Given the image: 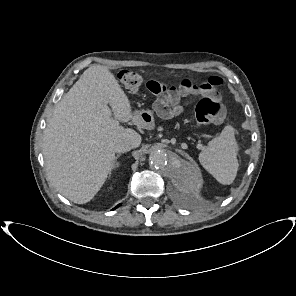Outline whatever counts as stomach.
Segmentation results:
<instances>
[{"label": "stomach", "instance_id": "1", "mask_svg": "<svg viewBox=\"0 0 296 296\" xmlns=\"http://www.w3.org/2000/svg\"><path fill=\"white\" fill-rule=\"evenodd\" d=\"M137 123L146 128H151L154 124V117L151 111H138L135 115Z\"/></svg>", "mask_w": 296, "mask_h": 296}]
</instances>
